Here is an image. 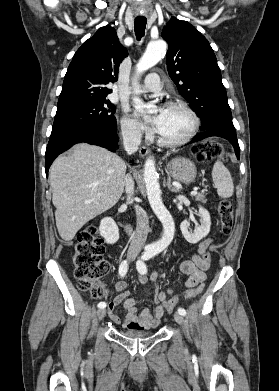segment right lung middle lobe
<instances>
[{
    "label": "right lung middle lobe",
    "mask_w": 279,
    "mask_h": 391,
    "mask_svg": "<svg viewBox=\"0 0 279 391\" xmlns=\"http://www.w3.org/2000/svg\"><path fill=\"white\" fill-rule=\"evenodd\" d=\"M115 111L114 104L107 99L87 101L57 109L52 132L116 120Z\"/></svg>",
    "instance_id": "right-lung-middle-lobe-1"
}]
</instances>
